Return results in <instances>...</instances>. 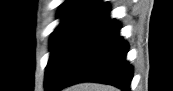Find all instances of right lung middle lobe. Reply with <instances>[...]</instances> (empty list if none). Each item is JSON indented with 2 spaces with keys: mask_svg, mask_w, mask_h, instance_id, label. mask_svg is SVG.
Returning a JSON list of instances; mask_svg holds the SVG:
<instances>
[{
  "mask_svg": "<svg viewBox=\"0 0 173 91\" xmlns=\"http://www.w3.org/2000/svg\"><path fill=\"white\" fill-rule=\"evenodd\" d=\"M105 6L108 7L107 4ZM83 25L80 23H63L52 33L50 38L51 55L45 71V81L53 74L56 64Z\"/></svg>",
  "mask_w": 173,
  "mask_h": 91,
  "instance_id": "right-lung-middle-lobe-1",
  "label": "right lung middle lobe"
}]
</instances>
